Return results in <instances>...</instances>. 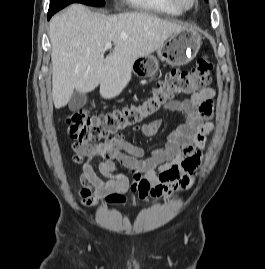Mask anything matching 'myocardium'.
<instances>
[{
  "instance_id": "f54148a6",
  "label": "myocardium",
  "mask_w": 265,
  "mask_h": 269,
  "mask_svg": "<svg viewBox=\"0 0 265 269\" xmlns=\"http://www.w3.org/2000/svg\"><path fill=\"white\" fill-rule=\"evenodd\" d=\"M172 5L180 9L181 11H187L193 8L196 0H168Z\"/></svg>"
}]
</instances>
